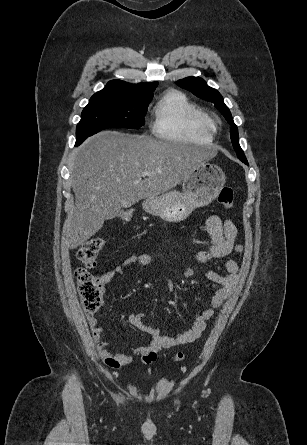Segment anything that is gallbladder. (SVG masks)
Masks as SVG:
<instances>
[{"label":"gallbladder","instance_id":"1","mask_svg":"<svg viewBox=\"0 0 307 445\" xmlns=\"http://www.w3.org/2000/svg\"><path fill=\"white\" fill-rule=\"evenodd\" d=\"M122 206L116 200H112L107 204V213L105 220L110 222L116 216V212L121 211Z\"/></svg>","mask_w":307,"mask_h":445}]
</instances>
